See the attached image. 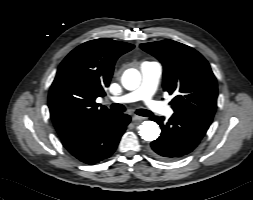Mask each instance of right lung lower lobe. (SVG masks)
Wrapping results in <instances>:
<instances>
[{"instance_id": "obj_1", "label": "right lung lower lobe", "mask_w": 253, "mask_h": 200, "mask_svg": "<svg viewBox=\"0 0 253 200\" xmlns=\"http://www.w3.org/2000/svg\"><path fill=\"white\" fill-rule=\"evenodd\" d=\"M131 118L112 114L100 124L62 139L65 148L77 159L95 164L112 155Z\"/></svg>"}]
</instances>
